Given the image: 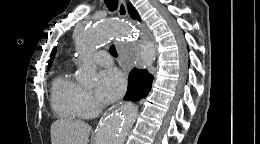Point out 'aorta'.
<instances>
[{
    "mask_svg": "<svg viewBox=\"0 0 260 144\" xmlns=\"http://www.w3.org/2000/svg\"><path fill=\"white\" fill-rule=\"evenodd\" d=\"M134 32L131 25L114 20L99 22L87 30L77 32L76 50L82 60L77 79L85 86H93L96 80V66L92 61V55L96 46L107 44L114 37L132 36ZM127 53L132 60L138 55L133 45L127 49ZM137 112L134 104L127 103L106 116L99 124L96 144H125L127 135L135 123Z\"/></svg>",
    "mask_w": 260,
    "mask_h": 144,
    "instance_id": "obj_1",
    "label": "aorta"
}]
</instances>
